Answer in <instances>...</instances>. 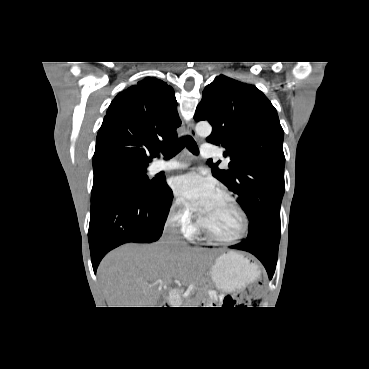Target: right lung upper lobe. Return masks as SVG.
I'll use <instances>...</instances> for the list:
<instances>
[{"label": "right lung upper lobe", "mask_w": 369, "mask_h": 369, "mask_svg": "<svg viewBox=\"0 0 369 369\" xmlns=\"http://www.w3.org/2000/svg\"><path fill=\"white\" fill-rule=\"evenodd\" d=\"M181 125L173 89L147 77L120 92L98 131L93 165L128 161L149 164L160 145H170Z\"/></svg>", "instance_id": "1"}]
</instances>
